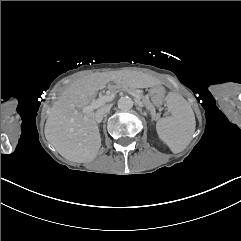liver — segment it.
Instances as JSON below:
<instances>
[{
	"instance_id": "6515ba94",
	"label": "liver",
	"mask_w": 241,
	"mask_h": 241,
	"mask_svg": "<svg viewBox=\"0 0 241 241\" xmlns=\"http://www.w3.org/2000/svg\"><path fill=\"white\" fill-rule=\"evenodd\" d=\"M124 79L116 72L92 73L70 84L51 109L45 125V137L65 159L86 163L96 158L101 148V136L95 112L85 107L106 84L114 85ZM154 85V81L148 86Z\"/></svg>"
}]
</instances>
